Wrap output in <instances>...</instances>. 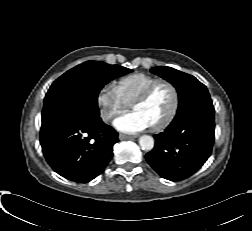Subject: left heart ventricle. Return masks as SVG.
<instances>
[{
  "label": "left heart ventricle",
  "mask_w": 252,
  "mask_h": 231,
  "mask_svg": "<svg viewBox=\"0 0 252 231\" xmlns=\"http://www.w3.org/2000/svg\"><path fill=\"white\" fill-rule=\"evenodd\" d=\"M172 102L171 88L167 84L162 83L153 90L145 102L135 105L133 110L139 112L150 126H153L168 114Z\"/></svg>",
  "instance_id": "left-heart-ventricle-1"
}]
</instances>
